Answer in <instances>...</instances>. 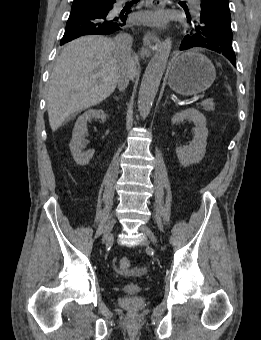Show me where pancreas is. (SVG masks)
Segmentation results:
<instances>
[{"instance_id": "pancreas-1", "label": "pancreas", "mask_w": 261, "mask_h": 340, "mask_svg": "<svg viewBox=\"0 0 261 340\" xmlns=\"http://www.w3.org/2000/svg\"><path fill=\"white\" fill-rule=\"evenodd\" d=\"M200 105L203 107L205 111H208V112L214 111L215 109L214 102L212 99H206L205 101H202Z\"/></svg>"}]
</instances>
